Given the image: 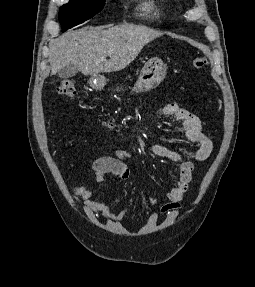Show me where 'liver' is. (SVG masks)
I'll list each match as a JSON object with an SVG mask.
<instances>
[{
	"label": "liver",
	"instance_id": "6515ba94",
	"mask_svg": "<svg viewBox=\"0 0 255 287\" xmlns=\"http://www.w3.org/2000/svg\"><path fill=\"white\" fill-rule=\"evenodd\" d=\"M108 28V30H105ZM162 36L145 26L121 24L81 28L66 32L49 44V60L52 74L65 66H77L84 76L100 72H119L135 60L142 48ZM110 60H106V58Z\"/></svg>",
	"mask_w": 255,
	"mask_h": 287
}]
</instances>
